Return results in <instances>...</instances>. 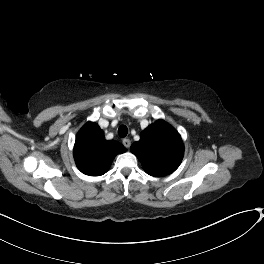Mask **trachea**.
<instances>
[{"instance_id": "1", "label": "trachea", "mask_w": 264, "mask_h": 264, "mask_svg": "<svg viewBox=\"0 0 264 264\" xmlns=\"http://www.w3.org/2000/svg\"><path fill=\"white\" fill-rule=\"evenodd\" d=\"M128 133V129L125 125H121L119 128H118V134L120 137L124 138Z\"/></svg>"}]
</instances>
